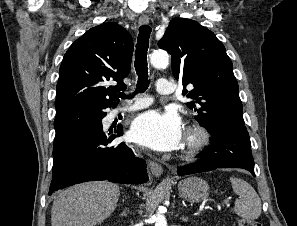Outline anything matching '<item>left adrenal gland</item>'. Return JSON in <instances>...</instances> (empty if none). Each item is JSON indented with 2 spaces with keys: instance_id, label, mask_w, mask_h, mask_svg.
<instances>
[{
  "instance_id": "obj_1",
  "label": "left adrenal gland",
  "mask_w": 297,
  "mask_h": 226,
  "mask_svg": "<svg viewBox=\"0 0 297 226\" xmlns=\"http://www.w3.org/2000/svg\"><path fill=\"white\" fill-rule=\"evenodd\" d=\"M183 221H188V218L187 217H182L181 218Z\"/></svg>"
}]
</instances>
